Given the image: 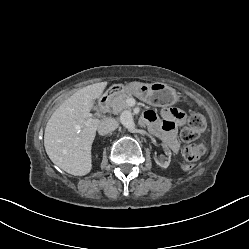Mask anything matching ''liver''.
Segmentation results:
<instances>
[{"instance_id": "6515ba94", "label": "liver", "mask_w": 249, "mask_h": 249, "mask_svg": "<svg viewBox=\"0 0 249 249\" xmlns=\"http://www.w3.org/2000/svg\"><path fill=\"white\" fill-rule=\"evenodd\" d=\"M107 82L86 86L66 101L52 114L44 134V146L50 160L74 176H84L92 169L91 148L100 120L87 124L84 115L94 107Z\"/></svg>"}]
</instances>
